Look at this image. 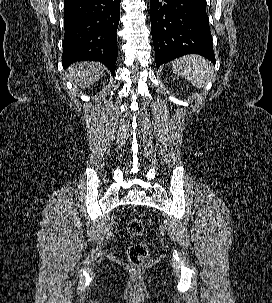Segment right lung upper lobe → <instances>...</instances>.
<instances>
[{
	"instance_id": "right-lung-upper-lobe-1",
	"label": "right lung upper lobe",
	"mask_w": 272,
	"mask_h": 303,
	"mask_svg": "<svg viewBox=\"0 0 272 303\" xmlns=\"http://www.w3.org/2000/svg\"><path fill=\"white\" fill-rule=\"evenodd\" d=\"M73 1H75V0H65V1H64V4L70 3V2H73Z\"/></svg>"
}]
</instances>
